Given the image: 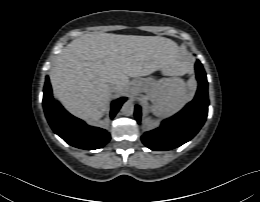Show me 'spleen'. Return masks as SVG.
<instances>
[{
  "label": "spleen",
  "mask_w": 260,
  "mask_h": 202,
  "mask_svg": "<svg viewBox=\"0 0 260 202\" xmlns=\"http://www.w3.org/2000/svg\"><path fill=\"white\" fill-rule=\"evenodd\" d=\"M192 97L193 94L182 79H166L151 97V110L156 116L167 117L179 111Z\"/></svg>",
  "instance_id": "3e777b00"
}]
</instances>
